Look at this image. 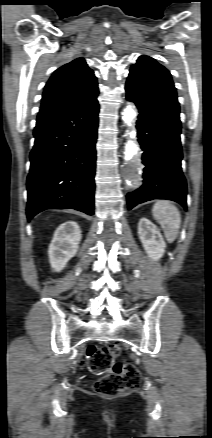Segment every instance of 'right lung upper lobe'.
Returning <instances> with one entry per match:
<instances>
[{
	"instance_id": "obj_1",
	"label": "right lung upper lobe",
	"mask_w": 212,
	"mask_h": 438,
	"mask_svg": "<svg viewBox=\"0 0 212 438\" xmlns=\"http://www.w3.org/2000/svg\"><path fill=\"white\" fill-rule=\"evenodd\" d=\"M97 79L83 58L57 69L47 82L40 112L78 105L98 96Z\"/></svg>"
}]
</instances>
